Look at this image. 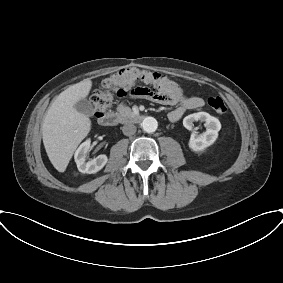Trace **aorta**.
Returning a JSON list of instances; mask_svg holds the SVG:
<instances>
[{
	"mask_svg": "<svg viewBox=\"0 0 283 283\" xmlns=\"http://www.w3.org/2000/svg\"><path fill=\"white\" fill-rule=\"evenodd\" d=\"M142 129L147 132V133H153L157 130L158 127V122L155 118L153 117H146L142 124Z\"/></svg>",
	"mask_w": 283,
	"mask_h": 283,
	"instance_id": "aorta-1",
	"label": "aorta"
}]
</instances>
